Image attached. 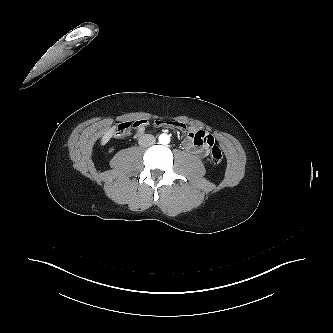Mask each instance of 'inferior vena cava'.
I'll use <instances>...</instances> for the list:
<instances>
[{
    "label": "inferior vena cava",
    "instance_id": "obj_1",
    "mask_svg": "<svg viewBox=\"0 0 333 333\" xmlns=\"http://www.w3.org/2000/svg\"><path fill=\"white\" fill-rule=\"evenodd\" d=\"M155 141H156V139L153 135L145 134L139 138L138 143L142 147H149V146L155 144Z\"/></svg>",
    "mask_w": 333,
    "mask_h": 333
}]
</instances>
